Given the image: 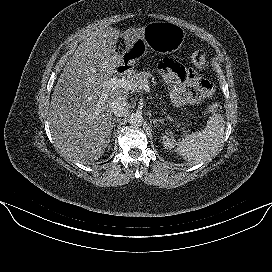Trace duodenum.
I'll use <instances>...</instances> for the list:
<instances>
[{
  "mask_svg": "<svg viewBox=\"0 0 272 272\" xmlns=\"http://www.w3.org/2000/svg\"><path fill=\"white\" fill-rule=\"evenodd\" d=\"M130 72V69L128 66H125V65H121L119 67H117L116 69V74L118 76H125L127 75L128 73Z\"/></svg>",
  "mask_w": 272,
  "mask_h": 272,
  "instance_id": "duodenum-1",
  "label": "duodenum"
}]
</instances>
